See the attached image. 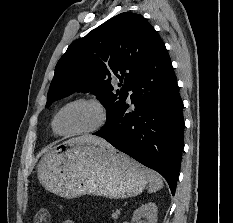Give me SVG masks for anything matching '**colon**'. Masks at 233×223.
<instances>
[{"instance_id": "colon-1", "label": "colon", "mask_w": 233, "mask_h": 223, "mask_svg": "<svg viewBox=\"0 0 233 223\" xmlns=\"http://www.w3.org/2000/svg\"><path fill=\"white\" fill-rule=\"evenodd\" d=\"M47 216H48L47 210L41 209L38 212V217H37L36 223H47Z\"/></svg>"}]
</instances>
